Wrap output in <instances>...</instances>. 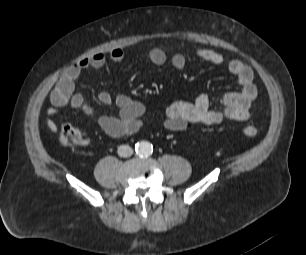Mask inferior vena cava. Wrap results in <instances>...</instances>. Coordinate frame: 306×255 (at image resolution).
<instances>
[{"instance_id":"obj_1","label":"inferior vena cava","mask_w":306,"mask_h":255,"mask_svg":"<svg viewBox=\"0 0 306 255\" xmlns=\"http://www.w3.org/2000/svg\"><path fill=\"white\" fill-rule=\"evenodd\" d=\"M117 152L120 157H130L133 153V149L128 145H121L118 147Z\"/></svg>"}]
</instances>
